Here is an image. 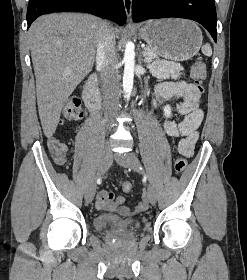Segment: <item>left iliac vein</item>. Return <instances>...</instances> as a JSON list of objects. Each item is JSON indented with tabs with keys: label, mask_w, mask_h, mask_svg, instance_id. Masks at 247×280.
Listing matches in <instances>:
<instances>
[{
	"label": "left iliac vein",
	"mask_w": 247,
	"mask_h": 280,
	"mask_svg": "<svg viewBox=\"0 0 247 280\" xmlns=\"http://www.w3.org/2000/svg\"><path fill=\"white\" fill-rule=\"evenodd\" d=\"M115 160L118 164L125 168L131 169L133 171H139V162L137 157L133 153L116 155ZM148 199L151 204L156 203L157 195L152 185L148 186Z\"/></svg>",
	"instance_id": "1"
}]
</instances>
